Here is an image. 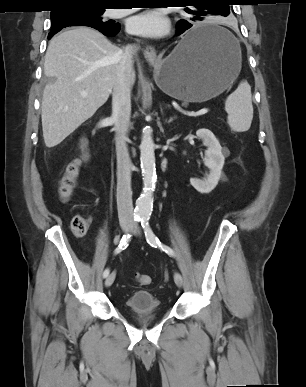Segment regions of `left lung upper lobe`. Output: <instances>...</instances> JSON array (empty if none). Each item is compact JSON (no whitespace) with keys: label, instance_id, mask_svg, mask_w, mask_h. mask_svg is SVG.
Listing matches in <instances>:
<instances>
[{"label":"left lung upper lobe","instance_id":"obj_1","mask_svg":"<svg viewBox=\"0 0 306 387\" xmlns=\"http://www.w3.org/2000/svg\"><path fill=\"white\" fill-rule=\"evenodd\" d=\"M227 2V0H184V4L192 6L184 9L187 18L185 21L192 24L210 16H227L230 10Z\"/></svg>","mask_w":306,"mask_h":387}]
</instances>
